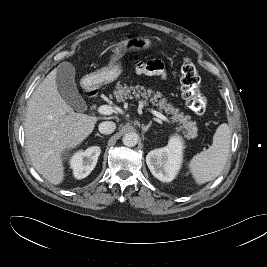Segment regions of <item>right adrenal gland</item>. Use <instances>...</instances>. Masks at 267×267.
I'll list each match as a JSON object with an SVG mask.
<instances>
[{"label": "right adrenal gland", "mask_w": 267, "mask_h": 267, "mask_svg": "<svg viewBox=\"0 0 267 267\" xmlns=\"http://www.w3.org/2000/svg\"><path fill=\"white\" fill-rule=\"evenodd\" d=\"M96 136L103 138V136L99 133H97Z\"/></svg>", "instance_id": "obj_1"}]
</instances>
